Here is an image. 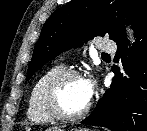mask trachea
I'll return each instance as SVG.
<instances>
[{
  "label": "trachea",
  "instance_id": "trachea-1",
  "mask_svg": "<svg viewBox=\"0 0 147 131\" xmlns=\"http://www.w3.org/2000/svg\"><path fill=\"white\" fill-rule=\"evenodd\" d=\"M102 56H109V54H105V53H103Z\"/></svg>",
  "mask_w": 147,
  "mask_h": 131
}]
</instances>
